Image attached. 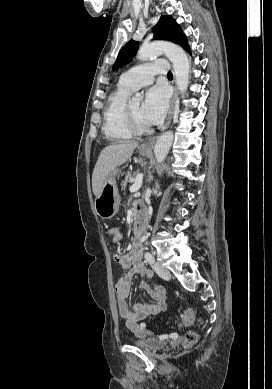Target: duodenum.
<instances>
[{"instance_id":"410a0bca","label":"duodenum","mask_w":272,"mask_h":389,"mask_svg":"<svg viewBox=\"0 0 272 389\" xmlns=\"http://www.w3.org/2000/svg\"><path fill=\"white\" fill-rule=\"evenodd\" d=\"M147 223V215L142 210L135 211L134 213V228H135V237L139 238L145 231Z\"/></svg>"}]
</instances>
